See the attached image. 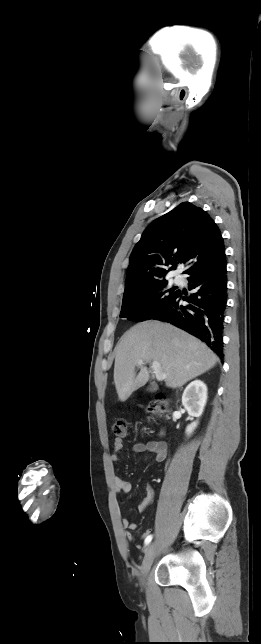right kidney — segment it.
I'll use <instances>...</instances> for the list:
<instances>
[{
    "label": "right kidney",
    "instance_id": "ca27d5eb",
    "mask_svg": "<svg viewBox=\"0 0 261 644\" xmlns=\"http://www.w3.org/2000/svg\"><path fill=\"white\" fill-rule=\"evenodd\" d=\"M207 401V386L201 380L191 382L184 390L182 404L192 417L199 418L204 410ZM198 425V421L186 427V434L190 435Z\"/></svg>",
    "mask_w": 261,
    "mask_h": 644
}]
</instances>
